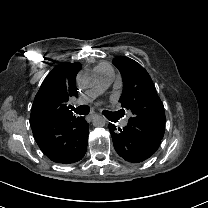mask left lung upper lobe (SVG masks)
Listing matches in <instances>:
<instances>
[{"instance_id":"1","label":"left lung upper lobe","mask_w":208,"mask_h":208,"mask_svg":"<svg viewBox=\"0 0 208 208\" xmlns=\"http://www.w3.org/2000/svg\"><path fill=\"white\" fill-rule=\"evenodd\" d=\"M113 64L124 80L119 101L123 109L132 114L128 123L162 140L165 127L164 106L149 74L139 63L127 57H116Z\"/></svg>"}]
</instances>
